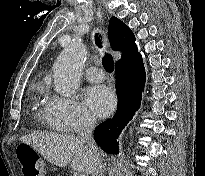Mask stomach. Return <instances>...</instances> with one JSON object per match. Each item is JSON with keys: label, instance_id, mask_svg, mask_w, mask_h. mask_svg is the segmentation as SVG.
Instances as JSON below:
<instances>
[{"label": "stomach", "instance_id": "stomach-1", "mask_svg": "<svg viewBox=\"0 0 205 176\" xmlns=\"http://www.w3.org/2000/svg\"><path fill=\"white\" fill-rule=\"evenodd\" d=\"M21 148L24 149V150H28L29 152H30V151H33V152L37 153L34 148H32L31 146H29V145H27V144L21 146Z\"/></svg>", "mask_w": 205, "mask_h": 176}]
</instances>
